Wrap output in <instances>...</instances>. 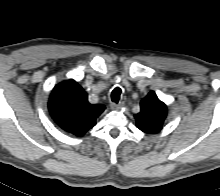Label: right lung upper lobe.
<instances>
[{
	"label": "right lung upper lobe",
	"instance_id": "cb5924a9",
	"mask_svg": "<svg viewBox=\"0 0 220 196\" xmlns=\"http://www.w3.org/2000/svg\"><path fill=\"white\" fill-rule=\"evenodd\" d=\"M48 108L53 120L65 131L83 136L96 124L104 111L102 104L88 102V95L73 79L57 84L49 97Z\"/></svg>",
	"mask_w": 220,
	"mask_h": 196
}]
</instances>
